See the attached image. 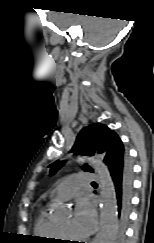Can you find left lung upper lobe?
Returning <instances> with one entry per match:
<instances>
[{
    "mask_svg": "<svg viewBox=\"0 0 154 243\" xmlns=\"http://www.w3.org/2000/svg\"><path fill=\"white\" fill-rule=\"evenodd\" d=\"M70 152L88 156L100 153L103 155L104 161L109 157L114 158L116 155H120L123 158L125 155V149L119 136L103 124H92L83 128ZM63 163V161L52 163L49 166L51 167L50 175H53ZM82 169L93 171L88 165H84Z\"/></svg>",
    "mask_w": 154,
    "mask_h": 243,
    "instance_id": "left-lung-upper-lobe-1",
    "label": "left lung upper lobe"
}]
</instances>
